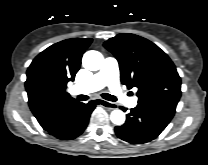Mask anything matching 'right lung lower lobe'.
<instances>
[{
	"label": "right lung lower lobe",
	"mask_w": 208,
	"mask_h": 165,
	"mask_svg": "<svg viewBox=\"0 0 208 165\" xmlns=\"http://www.w3.org/2000/svg\"><path fill=\"white\" fill-rule=\"evenodd\" d=\"M94 109V101L87 104L76 102L54 114L40 125L50 135L60 140L74 139L83 133Z\"/></svg>",
	"instance_id": "obj_1"
}]
</instances>
